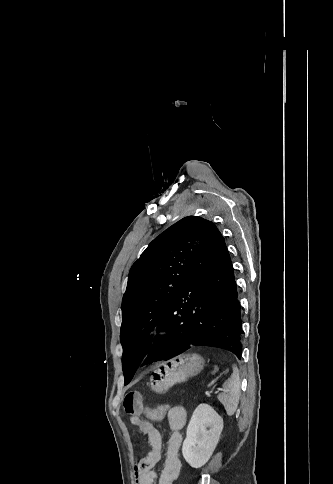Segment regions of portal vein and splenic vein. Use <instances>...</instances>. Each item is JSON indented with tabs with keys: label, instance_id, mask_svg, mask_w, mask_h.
Returning a JSON list of instances; mask_svg holds the SVG:
<instances>
[{
	"label": "portal vein and splenic vein",
	"instance_id": "portal-vein-and-splenic-vein-1",
	"mask_svg": "<svg viewBox=\"0 0 333 484\" xmlns=\"http://www.w3.org/2000/svg\"><path fill=\"white\" fill-rule=\"evenodd\" d=\"M214 389H215V388H212V389H210V390H206V391H205V395H206V396H210V395H211V393L214 391Z\"/></svg>",
	"mask_w": 333,
	"mask_h": 484
}]
</instances>
